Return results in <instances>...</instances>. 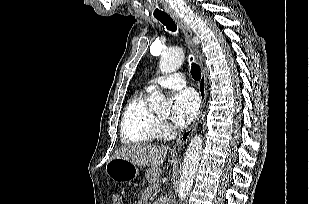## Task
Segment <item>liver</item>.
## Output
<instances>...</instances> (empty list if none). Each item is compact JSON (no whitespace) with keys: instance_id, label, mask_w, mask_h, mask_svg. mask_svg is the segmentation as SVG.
Instances as JSON below:
<instances>
[{"instance_id":"obj_1","label":"liver","mask_w":309,"mask_h":204,"mask_svg":"<svg viewBox=\"0 0 309 204\" xmlns=\"http://www.w3.org/2000/svg\"><path fill=\"white\" fill-rule=\"evenodd\" d=\"M165 145L130 144L119 148L112 159L121 158L140 166H160L167 155Z\"/></svg>"}]
</instances>
